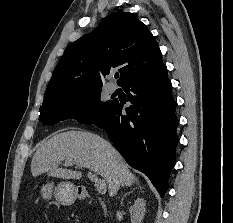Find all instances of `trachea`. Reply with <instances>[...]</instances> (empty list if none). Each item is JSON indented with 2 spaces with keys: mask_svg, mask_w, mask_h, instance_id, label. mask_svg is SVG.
Returning a JSON list of instances; mask_svg holds the SVG:
<instances>
[{
  "mask_svg": "<svg viewBox=\"0 0 233 223\" xmlns=\"http://www.w3.org/2000/svg\"><path fill=\"white\" fill-rule=\"evenodd\" d=\"M119 77V74H115V78H118Z\"/></svg>",
  "mask_w": 233,
  "mask_h": 223,
  "instance_id": "1",
  "label": "trachea"
}]
</instances>
